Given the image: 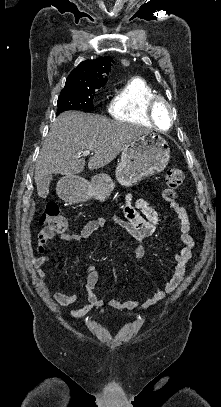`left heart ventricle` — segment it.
I'll list each match as a JSON object with an SVG mask.
<instances>
[{
  "instance_id": "obj_1",
  "label": "left heart ventricle",
  "mask_w": 221,
  "mask_h": 407,
  "mask_svg": "<svg viewBox=\"0 0 221 407\" xmlns=\"http://www.w3.org/2000/svg\"><path fill=\"white\" fill-rule=\"evenodd\" d=\"M157 125L161 129H166L169 124V112L165 106H160L156 110Z\"/></svg>"
}]
</instances>
